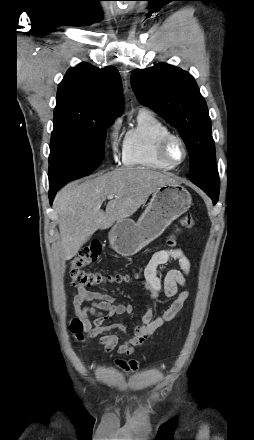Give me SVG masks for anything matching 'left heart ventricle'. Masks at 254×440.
Returning a JSON list of instances; mask_svg holds the SVG:
<instances>
[{
  "label": "left heart ventricle",
  "instance_id": "left-heart-ventricle-1",
  "mask_svg": "<svg viewBox=\"0 0 254 440\" xmlns=\"http://www.w3.org/2000/svg\"><path fill=\"white\" fill-rule=\"evenodd\" d=\"M169 154H170V157L175 162L181 161V159L183 157V152H182L181 146L176 142L172 143V145L170 146V149H169Z\"/></svg>",
  "mask_w": 254,
  "mask_h": 440
}]
</instances>
